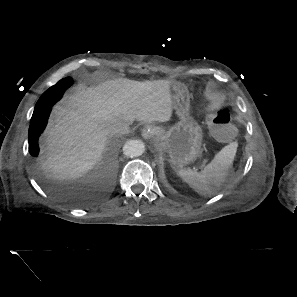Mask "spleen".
<instances>
[{"instance_id":"spleen-1","label":"spleen","mask_w":297,"mask_h":297,"mask_svg":"<svg viewBox=\"0 0 297 297\" xmlns=\"http://www.w3.org/2000/svg\"><path fill=\"white\" fill-rule=\"evenodd\" d=\"M237 147V142L223 147L200 172L192 169H179L177 174L198 194L211 195L226 181Z\"/></svg>"}]
</instances>
